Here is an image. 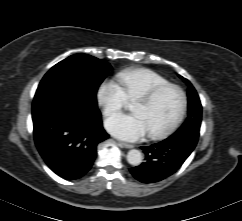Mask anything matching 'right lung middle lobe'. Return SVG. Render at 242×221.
I'll return each mask as SVG.
<instances>
[{
  "label": "right lung middle lobe",
  "mask_w": 242,
  "mask_h": 221,
  "mask_svg": "<svg viewBox=\"0 0 242 221\" xmlns=\"http://www.w3.org/2000/svg\"><path fill=\"white\" fill-rule=\"evenodd\" d=\"M111 66L87 54H75L53 66L41 80L32 110L67 105L80 112L97 110L96 93Z\"/></svg>",
  "instance_id": "dd1d6c3e"
}]
</instances>
